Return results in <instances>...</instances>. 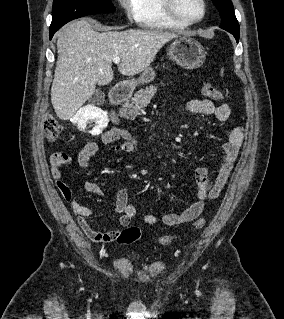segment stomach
I'll use <instances>...</instances> for the list:
<instances>
[{
	"instance_id": "obj_1",
	"label": "stomach",
	"mask_w": 284,
	"mask_h": 319,
	"mask_svg": "<svg viewBox=\"0 0 284 319\" xmlns=\"http://www.w3.org/2000/svg\"><path fill=\"white\" fill-rule=\"evenodd\" d=\"M168 56L179 66L185 69H195L201 66L206 59L204 47L193 38L180 36L168 48ZM155 78V72L151 67L143 71L138 80L128 82L130 88L139 83H149Z\"/></svg>"
}]
</instances>
